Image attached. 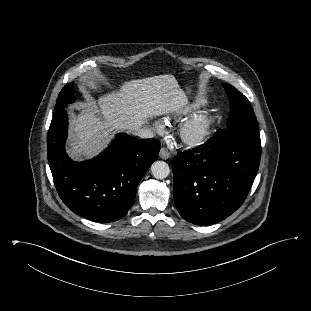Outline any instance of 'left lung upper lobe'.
Here are the masks:
<instances>
[{"label":"left lung upper lobe","mask_w":311,"mask_h":311,"mask_svg":"<svg viewBox=\"0 0 311 311\" xmlns=\"http://www.w3.org/2000/svg\"><path fill=\"white\" fill-rule=\"evenodd\" d=\"M223 87L228 94L231 110L227 127L225 129H219L216 134L237 128L258 132L257 119L249 100L233 86L224 83Z\"/></svg>","instance_id":"5c2ea615"}]
</instances>
